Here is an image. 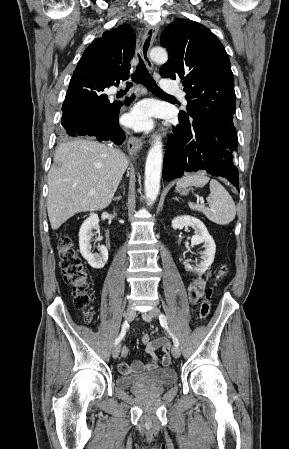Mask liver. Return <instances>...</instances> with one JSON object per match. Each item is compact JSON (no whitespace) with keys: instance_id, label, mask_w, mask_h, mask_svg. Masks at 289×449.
Segmentation results:
<instances>
[{"instance_id":"liver-1","label":"liver","mask_w":289,"mask_h":449,"mask_svg":"<svg viewBox=\"0 0 289 449\" xmlns=\"http://www.w3.org/2000/svg\"><path fill=\"white\" fill-rule=\"evenodd\" d=\"M127 167L125 154L114 147L84 139L62 143L48 174L51 228L57 230L79 212L106 208Z\"/></svg>"}]
</instances>
